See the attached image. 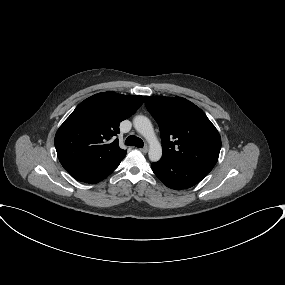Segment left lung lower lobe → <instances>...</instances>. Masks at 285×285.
Segmentation results:
<instances>
[{"label":"left lung lower lobe","mask_w":285,"mask_h":285,"mask_svg":"<svg viewBox=\"0 0 285 285\" xmlns=\"http://www.w3.org/2000/svg\"><path fill=\"white\" fill-rule=\"evenodd\" d=\"M152 170L167 187L176 190L196 185L209 173L190 165L172 163L163 159L153 163Z\"/></svg>","instance_id":"0a47b994"}]
</instances>
